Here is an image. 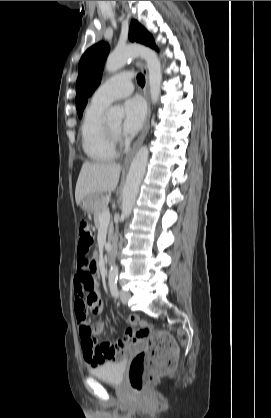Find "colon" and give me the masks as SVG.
Here are the masks:
<instances>
[{
  "label": "colon",
  "instance_id": "5ec220e1",
  "mask_svg": "<svg viewBox=\"0 0 271 418\" xmlns=\"http://www.w3.org/2000/svg\"><path fill=\"white\" fill-rule=\"evenodd\" d=\"M94 243V233L87 221L79 223V256L89 255ZM130 323L139 328L136 337L147 338L148 348L134 356L129 367V382L133 391L141 394L156 377L173 371L177 365L178 348L174 339L166 332L151 330L138 317L131 316ZM84 331L89 333V329Z\"/></svg>",
  "mask_w": 271,
  "mask_h": 418
}]
</instances>
